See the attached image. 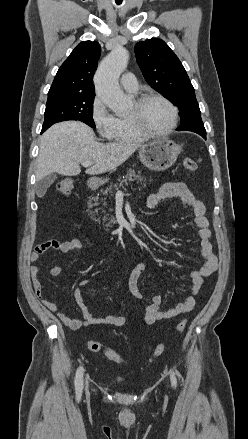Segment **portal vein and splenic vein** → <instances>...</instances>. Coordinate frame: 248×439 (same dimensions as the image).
Listing matches in <instances>:
<instances>
[{
  "label": "portal vein and splenic vein",
  "mask_w": 248,
  "mask_h": 439,
  "mask_svg": "<svg viewBox=\"0 0 248 439\" xmlns=\"http://www.w3.org/2000/svg\"><path fill=\"white\" fill-rule=\"evenodd\" d=\"M81 164H82V166H84V167H89V166L92 165V162H90V161H85V162H82ZM118 193H122V192H121V191H118Z\"/></svg>",
  "instance_id": "1"
}]
</instances>
